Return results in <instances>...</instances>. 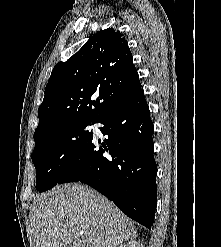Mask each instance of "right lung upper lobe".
<instances>
[{
	"label": "right lung upper lobe",
	"instance_id": "cb5924a9",
	"mask_svg": "<svg viewBox=\"0 0 221 247\" xmlns=\"http://www.w3.org/2000/svg\"><path fill=\"white\" fill-rule=\"evenodd\" d=\"M140 89L127 41L113 28L100 31L52 70L34 137L68 122H97Z\"/></svg>",
	"mask_w": 221,
	"mask_h": 247
}]
</instances>
